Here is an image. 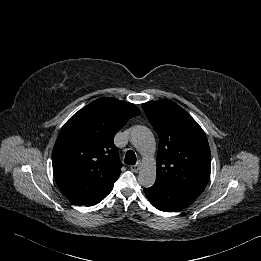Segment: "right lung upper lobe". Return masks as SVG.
<instances>
[{
	"instance_id": "right-lung-upper-lobe-1",
	"label": "right lung upper lobe",
	"mask_w": 261,
	"mask_h": 261,
	"mask_svg": "<svg viewBox=\"0 0 261 261\" xmlns=\"http://www.w3.org/2000/svg\"><path fill=\"white\" fill-rule=\"evenodd\" d=\"M140 114L132 103L97 99L62 127L52 154L53 172L62 194L77 205L104 199L121 173L114 135Z\"/></svg>"
}]
</instances>
